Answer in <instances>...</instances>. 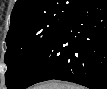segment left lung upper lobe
I'll return each mask as SVG.
<instances>
[{
  "label": "left lung upper lobe",
  "instance_id": "5c2ea615",
  "mask_svg": "<svg viewBox=\"0 0 107 89\" xmlns=\"http://www.w3.org/2000/svg\"><path fill=\"white\" fill-rule=\"evenodd\" d=\"M85 0H17L11 13L4 62L6 86L28 74L59 28Z\"/></svg>",
  "mask_w": 107,
  "mask_h": 89
}]
</instances>
